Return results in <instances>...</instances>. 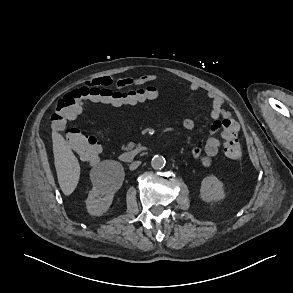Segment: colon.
Returning <instances> with one entry per match:
<instances>
[{
	"mask_svg": "<svg viewBox=\"0 0 293 293\" xmlns=\"http://www.w3.org/2000/svg\"><path fill=\"white\" fill-rule=\"evenodd\" d=\"M142 94L144 89L119 92L105 83H95L72 90L57 101L52 114V126L64 132L66 141L78 153L82 161L93 164L99 158L100 143L94 136L82 132L79 128L67 127V122L80 114L83 104L87 101L121 103L138 98ZM238 128V123L232 118L224 119L222 122L224 152L231 159H239L242 155Z\"/></svg>",
	"mask_w": 293,
	"mask_h": 293,
	"instance_id": "1",
	"label": "colon"
}]
</instances>
